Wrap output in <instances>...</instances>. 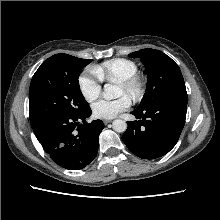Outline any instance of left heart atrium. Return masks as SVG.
Returning <instances> with one entry per match:
<instances>
[{"mask_svg": "<svg viewBox=\"0 0 220 220\" xmlns=\"http://www.w3.org/2000/svg\"><path fill=\"white\" fill-rule=\"evenodd\" d=\"M130 106V100L122 95L116 99H99L92 105V112L96 118L111 119L119 113L127 110Z\"/></svg>", "mask_w": 220, "mask_h": 220, "instance_id": "1", "label": "left heart atrium"}]
</instances>
